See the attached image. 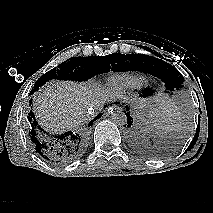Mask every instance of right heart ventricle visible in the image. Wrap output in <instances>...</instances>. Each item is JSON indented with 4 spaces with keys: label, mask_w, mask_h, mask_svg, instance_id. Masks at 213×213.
Masks as SVG:
<instances>
[{
    "label": "right heart ventricle",
    "mask_w": 213,
    "mask_h": 213,
    "mask_svg": "<svg viewBox=\"0 0 213 213\" xmlns=\"http://www.w3.org/2000/svg\"><path fill=\"white\" fill-rule=\"evenodd\" d=\"M111 84L120 90L134 89L146 84L147 79L143 75L120 74L110 79Z\"/></svg>",
    "instance_id": "right-heart-ventricle-1"
}]
</instances>
